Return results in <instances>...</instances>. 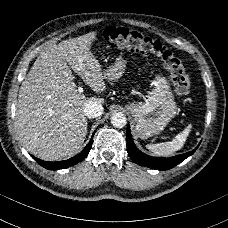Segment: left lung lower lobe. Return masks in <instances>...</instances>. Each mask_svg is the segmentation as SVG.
<instances>
[{
	"mask_svg": "<svg viewBox=\"0 0 228 228\" xmlns=\"http://www.w3.org/2000/svg\"><path fill=\"white\" fill-rule=\"evenodd\" d=\"M126 137H127V152L130 158L137 164L149 167L152 169L156 170H168L188 158L190 155H192L198 146L190 152L177 155L174 157L170 158H163V157H151L149 155H146L145 153L141 152L134 144L131 132H130V127L129 125L127 126V132H126Z\"/></svg>",
	"mask_w": 228,
	"mask_h": 228,
	"instance_id": "0a47b994",
	"label": "left lung lower lobe"
}]
</instances>
